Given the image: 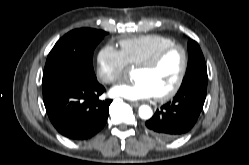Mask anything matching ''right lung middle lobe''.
I'll use <instances>...</instances> for the list:
<instances>
[{"label":"right lung middle lobe","mask_w":249,"mask_h":165,"mask_svg":"<svg viewBox=\"0 0 249 165\" xmlns=\"http://www.w3.org/2000/svg\"><path fill=\"white\" fill-rule=\"evenodd\" d=\"M105 34V31L90 28L70 31L50 51L44 71L56 69L88 81H97L92 57L95 47Z\"/></svg>","instance_id":"dd1d6c3e"}]
</instances>
